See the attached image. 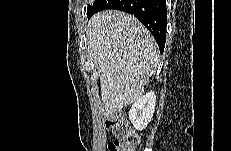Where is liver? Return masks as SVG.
Returning <instances> with one entry per match:
<instances>
[{
  "instance_id": "liver-1",
  "label": "liver",
  "mask_w": 231,
  "mask_h": 151,
  "mask_svg": "<svg viewBox=\"0 0 231 151\" xmlns=\"http://www.w3.org/2000/svg\"><path fill=\"white\" fill-rule=\"evenodd\" d=\"M87 52L100 75L103 114L136 102L159 63L158 46L134 16L117 10L96 13L86 28Z\"/></svg>"
}]
</instances>
